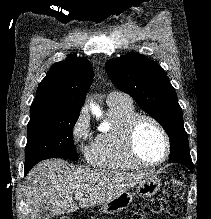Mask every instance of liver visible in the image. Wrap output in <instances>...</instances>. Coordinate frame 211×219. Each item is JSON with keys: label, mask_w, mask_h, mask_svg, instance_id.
Instances as JSON below:
<instances>
[{"label": "liver", "mask_w": 211, "mask_h": 219, "mask_svg": "<svg viewBox=\"0 0 211 219\" xmlns=\"http://www.w3.org/2000/svg\"><path fill=\"white\" fill-rule=\"evenodd\" d=\"M150 172H117L91 168H69L56 159L44 160L27 175L26 198L31 219L37 218L41 204L48 203L53 215L75 212L104 204L129 188L143 182ZM76 194L85 195L79 206Z\"/></svg>", "instance_id": "liver-1"}]
</instances>
